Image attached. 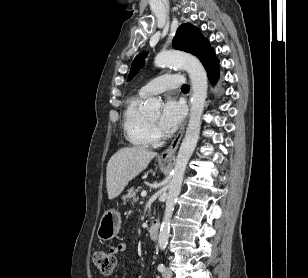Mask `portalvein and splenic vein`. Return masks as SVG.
Listing matches in <instances>:
<instances>
[{
  "label": "portal vein and splenic vein",
  "mask_w": 308,
  "mask_h": 278,
  "mask_svg": "<svg viewBox=\"0 0 308 278\" xmlns=\"http://www.w3.org/2000/svg\"><path fill=\"white\" fill-rule=\"evenodd\" d=\"M146 195H147V192H146L145 190L141 192V197H142V198H145Z\"/></svg>",
  "instance_id": "1"
}]
</instances>
